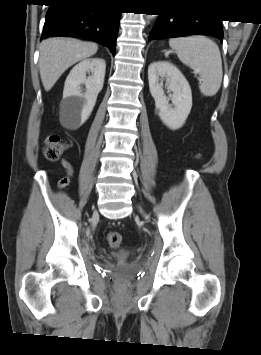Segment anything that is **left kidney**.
<instances>
[{"label": "left kidney", "mask_w": 261, "mask_h": 355, "mask_svg": "<svg viewBox=\"0 0 261 355\" xmlns=\"http://www.w3.org/2000/svg\"><path fill=\"white\" fill-rule=\"evenodd\" d=\"M166 78L168 89L173 92L169 98L164 94L160 78ZM149 89L155 100L156 110L162 122L172 130L181 128L192 107V93L182 72L167 61L153 62L148 67Z\"/></svg>", "instance_id": "1"}]
</instances>
